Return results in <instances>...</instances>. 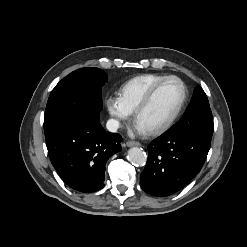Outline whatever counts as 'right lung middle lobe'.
I'll use <instances>...</instances> for the list:
<instances>
[{
	"label": "right lung middle lobe",
	"instance_id": "obj_1",
	"mask_svg": "<svg viewBox=\"0 0 247 247\" xmlns=\"http://www.w3.org/2000/svg\"><path fill=\"white\" fill-rule=\"evenodd\" d=\"M107 75L96 67L78 69L52 90L44 116L45 133L77 121L99 119Z\"/></svg>",
	"mask_w": 247,
	"mask_h": 247
}]
</instances>
